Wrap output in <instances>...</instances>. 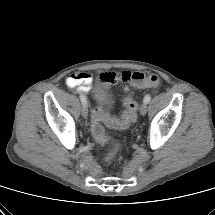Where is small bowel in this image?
I'll use <instances>...</instances> for the list:
<instances>
[{
    "label": "small bowel",
    "instance_id": "obj_1",
    "mask_svg": "<svg viewBox=\"0 0 215 215\" xmlns=\"http://www.w3.org/2000/svg\"><path fill=\"white\" fill-rule=\"evenodd\" d=\"M132 73L123 72L121 74L114 72H105L101 74V79L107 84H113L119 81H130ZM93 78L87 72L72 74L66 79V84L70 88H76L82 95L88 93L91 89Z\"/></svg>",
    "mask_w": 215,
    "mask_h": 215
}]
</instances>
